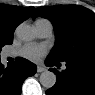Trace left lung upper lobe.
I'll return each instance as SVG.
<instances>
[{
  "label": "left lung upper lobe",
  "instance_id": "left-lung-upper-lobe-1",
  "mask_svg": "<svg viewBox=\"0 0 95 95\" xmlns=\"http://www.w3.org/2000/svg\"><path fill=\"white\" fill-rule=\"evenodd\" d=\"M49 19L56 44L49 54L55 61L95 63V13L80 5L39 7L33 18Z\"/></svg>",
  "mask_w": 95,
  "mask_h": 95
}]
</instances>
